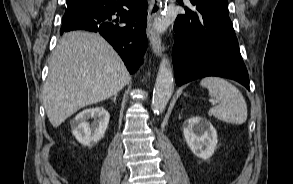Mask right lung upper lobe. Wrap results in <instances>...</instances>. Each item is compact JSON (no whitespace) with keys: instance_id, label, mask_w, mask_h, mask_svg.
<instances>
[{"instance_id":"1","label":"right lung upper lobe","mask_w":293,"mask_h":184,"mask_svg":"<svg viewBox=\"0 0 293 184\" xmlns=\"http://www.w3.org/2000/svg\"><path fill=\"white\" fill-rule=\"evenodd\" d=\"M90 0H67V7H66V11L67 10H71L77 7L82 6L83 4L89 2Z\"/></svg>"}]
</instances>
